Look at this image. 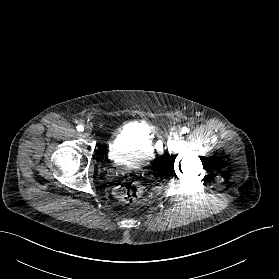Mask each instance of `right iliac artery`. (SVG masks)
Listing matches in <instances>:
<instances>
[{
    "label": "right iliac artery",
    "instance_id": "82829eb1",
    "mask_svg": "<svg viewBox=\"0 0 279 279\" xmlns=\"http://www.w3.org/2000/svg\"><path fill=\"white\" fill-rule=\"evenodd\" d=\"M77 130H78V131H83V130H84V127H83L82 125H78V126H77Z\"/></svg>",
    "mask_w": 279,
    "mask_h": 279
}]
</instances>
